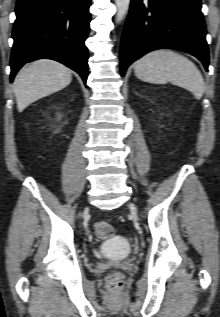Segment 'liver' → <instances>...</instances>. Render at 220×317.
<instances>
[{"label":"liver","instance_id":"6515ba94","mask_svg":"<svg viewBox=\"0 0 220 317\" xmlns=\"http://www.w3.org/2000/svg\"><path fill=\"white\" fill-rule=\"evenodd\" d=\"M71 80V70L59 62L42 59L28 64L14 80L18 111L22 112L31 103L62 90Z\"/></svg>","mask_w":220,"mask_h":317}]
</instances>
